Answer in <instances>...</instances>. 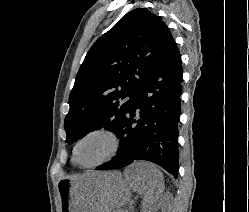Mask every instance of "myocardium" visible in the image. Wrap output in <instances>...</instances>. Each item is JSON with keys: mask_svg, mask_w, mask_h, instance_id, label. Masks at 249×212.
Instances as JSON below:
<instances>
[{"mask_svg": "<svg viewBox=\"0 0 249 212\" xmlns=\"http://www.w3.org/2000/svg\"><path fill=\"white\" fill-rule=\"evenodd\" d=\"M95 135H105V136H108L112 140L113 147H112L111 152L105 158H103L102 160H100L94 164H87V165L80 164L77 161V152H78L80 145L87 138L95 136ZM122 147H123V139H122L121 135L115 129L108 127V126L95 127V128L88 130L84 134H82L76 140V142L73 146V149H72V160L76 166H78L82 169H95V168H98V167L106 164L107 162L111 161L112 159L116 158L120 154Z\"/></svg>", "mask_w": 249, "mask_h": 212, "instance_id": "obj_1", "label": "myocardium"}]
</instances>
